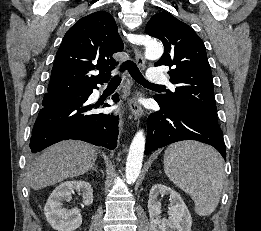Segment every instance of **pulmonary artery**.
Here are the masks:
<instances>
[{
    "mask_svg": "<svg viewBox=\"0 0 261 231\" xmlns=\"http://www.w3.org/2000/svg\"><path fill=\"white\" fill-rule=\"evenodd\" d=\"M148 82L160 85L168 83L167 78L162 73L161 69L156 67H151L148 69ZM170 86L174 89L172 84H170Z\"/></svg>",
    "mask_w": 261,
    "mask_h": 231,
    "instance_id": "obj_1",
    "label": "pulmonary artery"
}]
</instances>
